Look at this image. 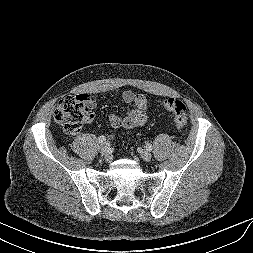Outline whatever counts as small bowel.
<instances>
[{
    "label": "small bowel",
    "instance_id": "1",
    "mask_svg": "<svg viewBox=\"0 0 253 253\" xmlns=\"http://www.w3.org/2000/svg\"><path fill=\"white\" fill-rule=\"evenodd\" d=\"M88 99L91 108L97 105V99L93 96L83 95ZM122 100L127 104H132L134 108L126 116L120 117L116 114L109 116V123L113 128L132 129L145 124L147 120V99L138 92L125 91L122 94Z\"/></svg>",
    "mask_w": 253,
    "mask_h": 253
}]
</instances>
